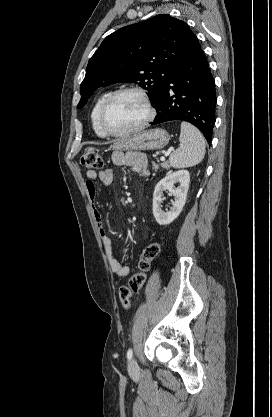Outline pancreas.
Returning a JSON list of instances; mask_svg holds the SVG:
<instances>
[{"label":"pancreas","instance_id":"obj_1","mask_svg":"<svg viewBox=\"0 0 272 417\" xmlns=\"http://www.w3.org/2000/svg\"><path fill=\"white\" fill-rule=\"evenodd\" d=\"M152 165H153V169L155 171H157L160 167H162L164 169H169L170 168L168 162H163L160 165L159 164H156L155 162H153Z\"/></svg>","mask_w":272,"mask_h":417}]
</instances>
